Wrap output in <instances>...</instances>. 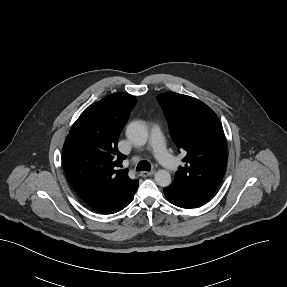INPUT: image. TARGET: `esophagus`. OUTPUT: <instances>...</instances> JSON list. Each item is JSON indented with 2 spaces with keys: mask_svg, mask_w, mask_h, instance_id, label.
<instances>
[{
  "mask_svg": "<svg viewBox=\"0 0 287 287\" xmlns=\"http://www.w3.org/2000/svg\"><path fill=\"white\" fill-rule=\"evenodd\" d=\"M154 170H152V171H142V172H140V176L141 177H147V176H151V175H153L154 174Z\"/></svg>",
  "mask_w": 287,
  "mask_h": 287,
  "instance_id": "esophagus-1",
  "label": "esophagus"
}]
</instances>
